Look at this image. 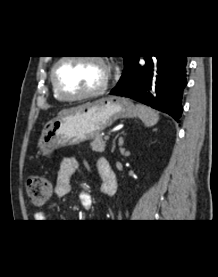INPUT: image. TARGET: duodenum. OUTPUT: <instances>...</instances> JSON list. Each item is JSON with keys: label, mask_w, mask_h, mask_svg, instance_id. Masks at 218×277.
<instances>
[{"label": "duodenum", "mask_w": 218, "mask_h": 277, "mask_svg": "<svg viewBox=\"0 0 218 277\" xmlns=\"http://www.w3.org/2000/svg\"><path fill=\"white\" fill-rule=\"evenodd\" d=\"M99 171L101 173L100 175L102 177L103 184L115 181V191L110 195L107 194L106 196L113 195L116 192V180H115V175H114V173L110 167V164L107 160L101 159L99 161Z\"/></svg>", "instance_id": "1"}]
</instances>
